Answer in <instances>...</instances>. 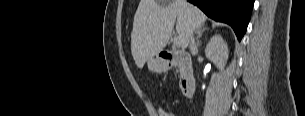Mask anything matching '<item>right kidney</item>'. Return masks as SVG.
Wrapping results in <instances>:
<instances>
[{"label":"right kidney","instance_id":"right-kidney-1","mask_svg":"<svg viewBox=\"0 0 305 116\" xmlns=\"http://www.w3.org/2000/svg\"><path fill=\"white\" fill-rule=\"evenodd\" d=\"M206 57L219 69H223L228 60V46L221 35H214L205 48Z\"/></svg>","mask_w":305,"mask_h":116}]
</instances>
